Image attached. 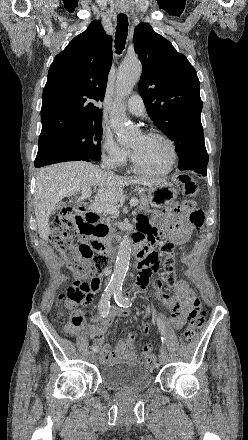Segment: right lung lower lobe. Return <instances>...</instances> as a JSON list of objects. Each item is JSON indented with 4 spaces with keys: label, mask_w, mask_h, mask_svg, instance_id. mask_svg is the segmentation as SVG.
I'll use <instances>...</instances> for the list:
<instances>
[{
    "label": "right lung lower lobe",
    "mask_w": 248,
    "mask_h": 440,
    "mask_svg": "<svg viewBox=\"0 0 248 440\" xmlns=\"http://www.w3.org/2000/svg\"><path fill=\"white\" fill-rule=\"evenodd\" d=\"M84 161H92L91 159H86V160H84Z\"/></svg>",
    "instance_id": "right-lung-lower-lobe-1"
}]
</instances>
